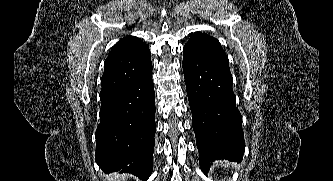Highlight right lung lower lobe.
I'll list each match as a JSON object with an SVG mask.
<instances>
[{"instance_id":"obj_1","label":"right lung lower lobe","mask_w":333,"mask_h":181,"mask_svg":"<svg viewBox=\"0 0 333 181\" xmlns=\"http://www.w3.org/2000/svg\"><path fill=\"white\" fill-rule=\"evenodd\" d=\"M152 73L101 99L95 160L105 173L121 170L147 180L153 170L156 125Z\"/></svg>"}]
</instances>
